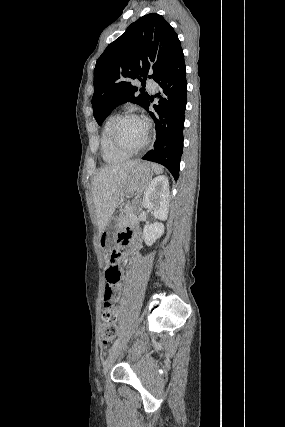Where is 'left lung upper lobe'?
Instances as JSON below:
<instances>
[{"label": "left lung upper lobe", "instance_id": "obj_1", "mask_svg": "<svg viewBox=\"0 0 285 427\" xmlns=\"http://www.w3.org/2000/svg\"><path fill=\"white\" fill-rule=\"evenodd\" d=\"M182 51L174 29L159 14L139 18L98 58L94 69L93 114L99 125L119 104L127 101L146 109L150 97L131 85L138 78L157 81ZM143 77L144 79L142 80Z\"/></svg>", "mask_w": 285, "mask_h": 427}]
</instances>
